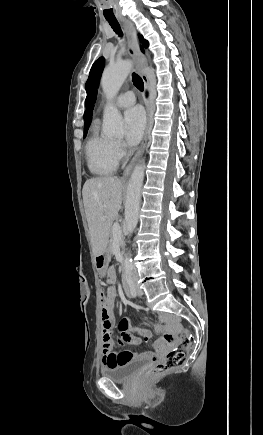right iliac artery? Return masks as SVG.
Returning <instances> with one entry per match:
<instances>
[{
	"label": "right iliac artery",
	"mask_w": 263,
	"mask_h": 435,
	"mask_svg": "<svg viewBox=\"0 0 263 435\" xmlns=\"http://www.w3.org/2000/svg\"><path fill=\"white\" fill-rule=\"evenodd\" d=\"M126 279L129 283L131 297H136L137 293H136V289H135L134 284H133L131 271L129 269L126 270Z\"/></svg>",
	"instance_id": "right-iliac-artery-1"
}]
</instances>
